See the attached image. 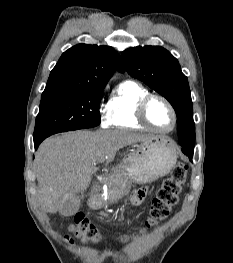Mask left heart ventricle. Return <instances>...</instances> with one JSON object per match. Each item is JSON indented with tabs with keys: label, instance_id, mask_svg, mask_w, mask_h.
<instances>
[{
	"label": "left heart ventricle",
	"instance_id": "obj_1",
	"mask_svg": "<svg viewBox=\"0 0 233 263\" xmlns=\"http://www.w3.org/2000/svg\"><path fill=\"white\" fill-rule=\"evenodd\" d=\"M147 116L151 124L158 129L167 130L172 126V114L161 100L151 101Z\"/></svg>",
	"mask_w": 233,
	"mask_h": 263
}]
</instances>
